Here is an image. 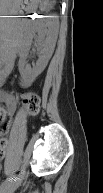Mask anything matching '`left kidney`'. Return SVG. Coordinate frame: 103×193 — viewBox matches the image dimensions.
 <instances>
[{
  "label": "left kidney",
  "mask_w": 103,
  "mask_h": 193,
  "mask_svg": "<svg viewBox=\"0 0 103 193\" xmlns=\"http://www.w3.org/2000/svg\"><path fill=\"white\" fill-rule=\"evenodd\" d=\"M44 16H41L43 18ZM50 19H41L35 21L32 33L37 36V48L40 51L39 59L33 68L26 63L28 52L31 45V40L27 41L21 51L19 59V72L24 79L33 82L38 75H40L46 68L54 51V46L57 40L59 23L57 19H53V16H47ZM48 28V29H47Z\"/></svg>",
  "instance_id": "5707ae66"
}]
</instances>
